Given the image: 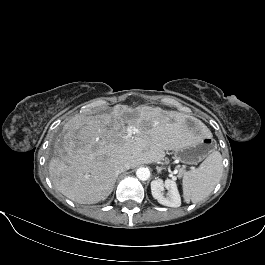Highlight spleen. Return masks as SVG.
<instances>
[{"mask_svg": "<svg viewBox=\"0 0 265 265\" xmlns=\"http://www.w3.org/2000/svg\"><path fill=\"white\" fill-rule=\"evenodd\" d=\"M223 165L220 152L213 151L196 169L183 174L182 186L185 202L196 203L214 190L222 177Z\"/></svg>", "mask_w": 265, "mask_h": 265, "instance_id": "3e777b00", "label": "spleen"}]
</instances>
